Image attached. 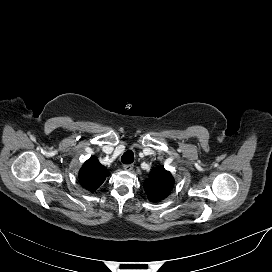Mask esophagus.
<instances>
[{"instance_id":"34e87169","label":"esophagus","mask_w":272,"mask_h":272,"mask_svg":"<svg viewBox=\"0 0 272 272\" xmlns=\"http://www.w3.org/2000/svg\"><path fill=\"white\" fill-rule=\"evenodd\" d=\"M134 165L133 164H125L123 166L124 170L126 171H131L133 169Z\"/></svg>"}]
</instances>
